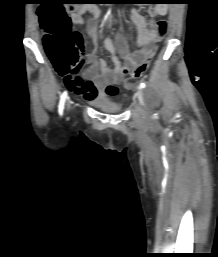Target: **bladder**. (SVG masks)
Instances as JSON below:
<instances>
[{
	"instance_id": "31cf9c89",
	"label": "bladder",
	"mask_w": 218,
	"mask_h": 257,
	"mask_svg": "<svg viewBox=\"0 0 218 257\" xmlns=\"http://www.w3.org/2000/svg\"><path fill=\"white\" fill-rule=\"evenodd\" d=\"M89 103L95 108L107 113H119L122 110V107L119 104L106 97H99L95 100L89 101Z\"/></svg>"
}]
</instances>
